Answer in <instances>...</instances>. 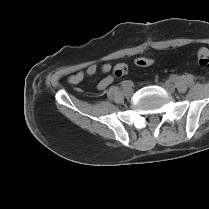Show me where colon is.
Returning <instances> with one entry per match:
<instances>
[{
    "label": "colon",
    "mask_w": 209,
    "mask_h": 209,
    "mask_svg": "<svg viewBox=\"0 0 209 209\" xmlns=\"http://www.w3.org/2000/svg\"><path fill=\"white\" fill-rule=\"evenodd\" d=\"M198 63L201 67L209 69V49L201 48L197 52ZM140 67H149L153 64V60L149 58H141L136 62ZM127 72V67L124 64H118L113 69V75L121 77Z\"/></svg>",
    "instance_id": "5ec220e1"
}]
</instances>
